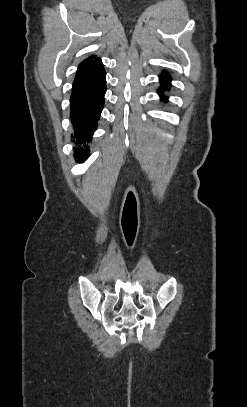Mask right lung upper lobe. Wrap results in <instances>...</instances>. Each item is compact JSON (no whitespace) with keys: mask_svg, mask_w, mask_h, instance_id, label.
Masks as SVG:
<instances>
[{"mask_svg":"<svg viewBox=\"0 0 247 407\" xmlns=\"http://www.w3.org/2000/svg\"><path fill=\"white\" fill-rule=\"evenodd\" d=\"M95 58H96V57H95L94 55H93V56H90V57H88L87 59H85L83 62H81L79 66L84 65V64H86L87 62H89V61H91V60H93V59H95Z\"/></svg>","mask_w":247,"mask_h":407,"instance_id":"cb5924a9","label":"right lung upper lobe"}]
</instances>
